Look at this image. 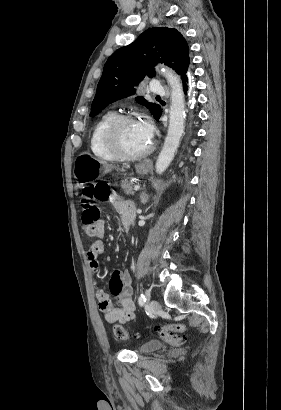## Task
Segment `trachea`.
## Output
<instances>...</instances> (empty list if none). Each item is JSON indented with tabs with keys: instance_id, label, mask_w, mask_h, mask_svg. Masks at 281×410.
Masks as SVG:
<instances>
[{
	"instance_id": "trachea-1",
	"label": "trachea",
	"mask_w": 281,
	"mask_h": 410,
	"mask_svg": "<svg viewBox=\"0 0 281 410\" xmlns=\"http://www.w3.org/2000/svg\"><path fill=\"white\" fill-rule=\"evenodd\" d=\"M156 98H160V96L157 95Z\"/></svg>"
}]
</instances>
